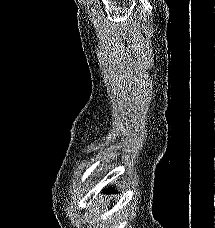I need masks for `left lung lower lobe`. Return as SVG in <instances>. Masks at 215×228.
I'll return each instance as SVG.
<instances>
[{"label":"left lung lower lobe","mask_w":215,"mask_h":228,"mask_svg":"<svg viewBox=\"0 0 215 228\" xmlns=\"http://www.w3.org/2000/svg\"><path fill=\"white\" fill-rule=\"evenodd\" d=\"M114 192H117V191H114L112 188H108L104 190V193H114Z\"/></svg>","instance_id":"1"}]
</instances>
